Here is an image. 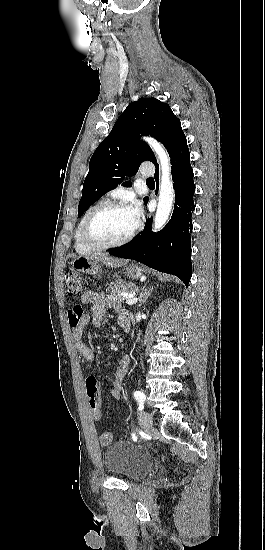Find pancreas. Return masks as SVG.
<instances>
[{
    "label": "pancreas",
    "instance_id": "pancreas-1",
    "mask_svg": "<svg viewBox=\"0 0 265 550\" xmlns=\"http://www.w3.org/2000/svg\"><path fill=\"white\" fill-rule=\"evenodd\" d=\"M136 289V285L131 282L116 280L107 284L106 292L109 293V299L112 302L121 304L124 302L122 293H132Z\"/></svg>",
    "mask_w": 265,
    "mask_h": 550
}]
</instances>
